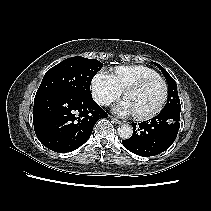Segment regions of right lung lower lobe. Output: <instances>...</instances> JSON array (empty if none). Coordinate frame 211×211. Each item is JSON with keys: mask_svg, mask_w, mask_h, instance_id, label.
I'll use <instances>...</instances> for the list:
<instances>
[{"mask_svg": "<svg viewBox=\"0 0 211 211\" xmlns=\"http://www.w3.org/2000/svg\"><path fill=\"white\" fill-rule=\"evenodd\" d=\"M108 114L92 96L52 93L34 99L33 124L39 141L55 152H71L90 137Z\"/></svg>", "mask_w": 211, "mask_h": 211, "instance_id": "1", "label": "right lung lower lobe"}]
</instances>
